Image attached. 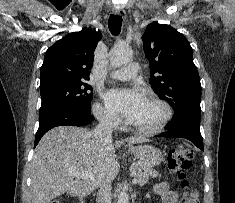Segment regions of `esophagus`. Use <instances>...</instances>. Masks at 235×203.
<instances>
[{
  "label": "esophagus",
  "instance_id": "1",
  "mask_svg": "<svg viewBox=\"0 0 235 203\" xmlns=\"http://www.w3.org/2000/svg\"><path fill=\"white\" fill-rule=\"evenodd\" d=\"M112 12H113L114 15H118V16H121L123 18H126V12L122 9H118V8L114 7L112 9Z\"/></svg>",
  "mask_w": 235,
  "mask_h": 203
}]
</instances>
